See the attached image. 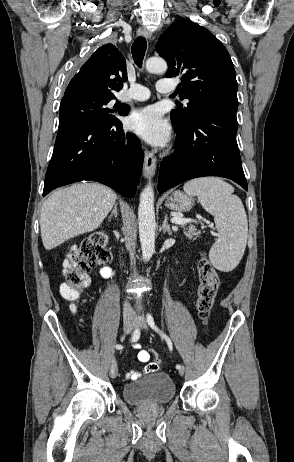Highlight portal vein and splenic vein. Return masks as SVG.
<instances>
[{"mask_svg": "<svg viewBox=\"0 0 294 462\" xmlns=\"http://www.w3.org/2000/svg\"><path fill=\"white\" fill-rule=\"evenodd\" d=\"M171 222L176 224V225H185V224H187L189 222H196V221H194L192 219H187V218L173 217L171 219Z\"/></svg>", "mask_w": 294, "mask_h": 462, "instance_id": "portal-vein-and-splenic-vein-1", "label": "portal vein and splenic vein"}]
</instances>
